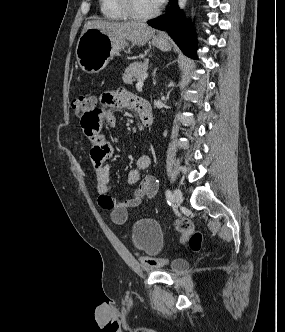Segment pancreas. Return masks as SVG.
Instances as JSON below:
<instances>
[{
    "label": "pancreas",
    "instance_id": "cf45deb5",
    "mask_svg": "<svg viewBox=\"0 0 285 332\" xmlns=\"http://www.w3.org/2000/svg\"><path fill=\"white\" fill-rule=\"evenodd\" d=\"M148 59L142 62H134L125 69L123 75V81L126 84H132L136 79L140 80L147 74L148 70Z\"/></svg>",
    "mask_w": 285,
    "mask_h": 332
}]
</instances>
